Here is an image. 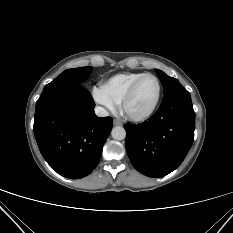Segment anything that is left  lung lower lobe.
<instances>
[{
    "label": "left lung lower lobe",
    "instance_id": "1",
    "mask_svg": "<svg viewBox=\"0 0 233 233\" xmlns=\"http://www.w3.org/2000/svg\"><path fill=\"white\" fill-rule=\"evenodd\" d=\"M126 150L134 168L162 177L184 160L194 140L195 112L189 93L162 100L157 112L138 125L125 124Z\"/></svg>",
    "mask_w": 233,
    "mask_h": 233
}]
</instances>
